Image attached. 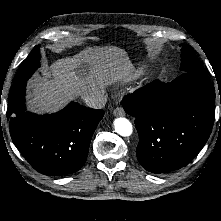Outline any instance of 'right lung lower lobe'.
<instances>
[{
  "label": "right lung lower lobe",
  "mask_w": 221,
  "mask_h": 221,
  "mask_svg": "<svg viewBox=\"0 0 221 221\" xmlns=\"http://www.w3.org/2000/svg\"><path fill=\"white\" fill-rule=\"evenodd\" d=\"M26 81L11 87L7 119L13 143L38 172L66 175L85 163L92 135L104 116L101 109H91L71 102L63 110L35 116L25 110Z\"/></svg>",
  "instance_id": "1"
}]
</instances>
